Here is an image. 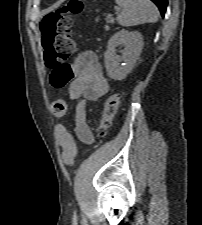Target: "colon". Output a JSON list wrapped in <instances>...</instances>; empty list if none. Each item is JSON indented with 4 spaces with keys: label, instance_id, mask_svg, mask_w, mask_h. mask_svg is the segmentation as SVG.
I'll return each instance as SVG.
<instances>
[{
    "label": "colon",
    "instance_id": "obj_1",
    "mask_svg": "<svg viewBox=\"0 0 202 225\" xmlns=\"http://www.w3.org/2000/svg\"><path fill=\"white\" fill-rule=\"evenodd\" d=\"M81 0H70L66 5L53 13L46 15L40 23L42 45L44 48V65L50 70V82L56 88H63L73 78L68 59L74 51L71 39L73 17L81 12ZM120 104V94H110L104 104V112L98 128V136L104 138L111 127ZM52 112L55 116H64L67 103L63 99L52 102ZM63 160L71 165L76 157L75 142L68 133L62 136Z\"/></svg>",
    "mask_w": 202,
    "mask_h": 225
}]
</instances>
